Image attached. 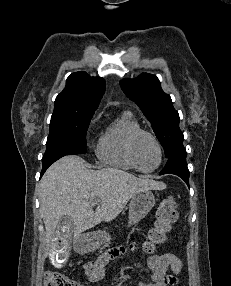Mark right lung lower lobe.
Returning a JSON list of instances; mask_svg holds the SVG:
<instances>
[{"mask_svg":"<svg viewBox=\"0 0 231 286\" xmlns=\"http://www.w3.org/2000/svg\"><path fill=\"white\" fill-rule=\"evenodd\" d=\"M59 158H55V159H52V160H50V161H48V162H44L43 163V168H42V171H41V176L44 174V172L46 171V169L52 164V163H54L56 160H58ZM40 176V177H41Z\"/></svg>","mask_w":231,"mask_h":286,"instance_id":"1","label":"right lung lower lobe"}]
</instances>
